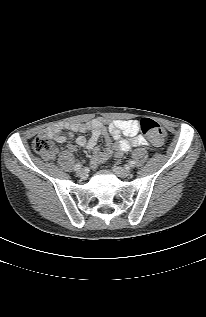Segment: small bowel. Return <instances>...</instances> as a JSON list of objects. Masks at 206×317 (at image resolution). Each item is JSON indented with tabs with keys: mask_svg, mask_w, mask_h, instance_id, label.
<instances>
[{
	"mask_svg": "<svg viewBox=\"0 0 206 317\" xmlns=\"http://www.w3.org/2000/svg\"><path fill=\"white\" fill-rule=\"evenodd\" d=\"M69 132H64L59 127H49L41 132L44 135L57 142H64L68 137H73L74 132L84 133L89 131L90 136L80 135L76 138V144L80 147L98 151V141L103 136L107 145L110 144V138L116 140L115 150L110 149L100 155H94L92 164L107 158L110 155L121 157L130 149L138 146L149 145L148 140L139 134V126L135 120H113L109 123L102 118H96L86 123H72L68 126ZM68 149L74 152L76 147L73 144L68 145ZM56 150L53 152L55 153Z\"/></svg>",
	"mask_w": 206,
	"mask_h": 317,
	"instance_id": "c3829d8e",
	"label": "small bowel"
}]
</instances>
